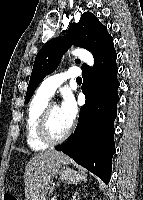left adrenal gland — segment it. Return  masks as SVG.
<instances>
[{
  "mask_svg": "<svg viewBox=\"0 0 143 200\" xmlns=\"http://www.w3.org/2000/svg\"><path fill=\"white\" fill-rule=\"evenodd\" d=\"M72 200H79L78 199V193L77 192H75V194H74V196H73V199Z\"/></svg>",
  "mask_w": 143,
  "mask_h": 200,
  "instance_id": "left-adrenal-gland-1",
  "label": "left adrenal gland"
}]
</instances>
